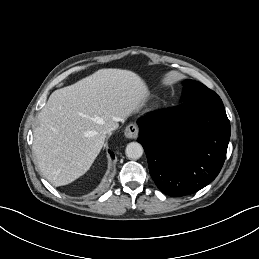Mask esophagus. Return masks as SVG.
Returning <instances> with one entry per match:
<instances>
[{"label":"esophagus","instance_id":"obj_1","mask_svg":"<svg viewBox=\"0 0 259 259\" xmlns=\"http://www.w3.org/2000/svg\"><path fill=\"white\" fill-rule=\"evenodd\" d=\"M139 134V129L135 124H129L124 130V135L129 139H136Z\"/></svg>","mask_w":259,"mask_h":259}]
</instances>
